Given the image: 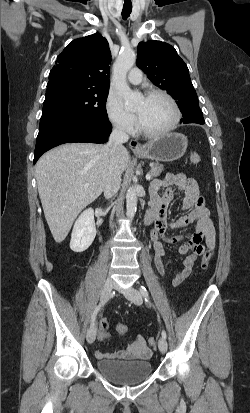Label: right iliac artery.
Instances as JSON below:
<instances>
[{"mask_svg":"<svg viewBox=\"0 0 250 413\" xmlns=\"http://www.w3.org/2000/svg\"><path fill=\"white\" fill-rule=\"evenodd\" d=\"M103 304H104V302L100 303V304L96 307V309L94 310V312H93V314H92V317H91V325L94 323V321H95V319H96V316H97V314H98V312H99V310H100V308L102 307Z\"/></svg>","mask_w":250,"mask_h":413,"instance_id":"right-iliac-artery-1","label":"right iliac artery"}]
</instances>
